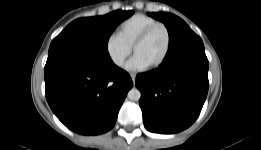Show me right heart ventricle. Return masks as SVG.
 Segmentation results:
<instances>
[{
	"mask_svg": "<svg viewBox=\"0 0 261 150\" xmlns=\"http://www.w3.org/2000/svg\"><path fill=\"white\" fill-rule=\"evenodd\" d=\"M155 18L137 13L123 20L116 29V35L128 46L132 47L138 36L149 26L158 23Z\"/></svg>",
	"mask_w": 261,
	"mask_h": 150,
	"instance_id": "right-heart-ventricle-1",
	"label": "right heart ventricle"
}]
</instances>
